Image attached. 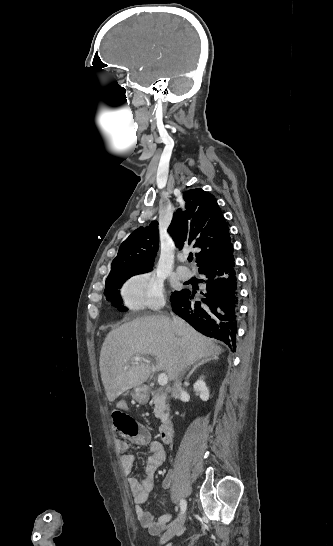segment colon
Masks as SVG:
<instances>
[{
  "mask_svg": "<svg viewBox=\"0 0 333 546\" xmlns=\"http://www.w3.org/2000/svg\"><path fill=\"white\" fill-rule=\"evenodd\" d=\"M112 422L115 432L122 438L129 437L134 434L136 428L128 417L121 411L114 408L112 413Z\"/></svg>",
  "mask_w": 333,
  "mask_h": 546,
  "instance_id": "5ec220e1",
  "label": "colon"
}]
</instances>
